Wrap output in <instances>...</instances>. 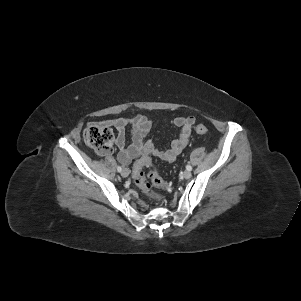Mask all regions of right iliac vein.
Returning a JSON list of instances; mask_svg holds the SVG:
<instances>
[{
  "label": "right iliac vein",
  "instance_id": "1",
  "mask_svg": "<svg viewBox=\"0 0 301 301\" xmlns=\"http://www.w3.org/2000/svg\"><path fill=\"white\" fill-rule=\"evenodd\" d=\"M129 173L130 171L127 169V168H124L122 171H121V175L123 177H128L129 176Z\"/></svg>",
  "mask_w": 301,
  "mask_h": 301
}]
</instances>
